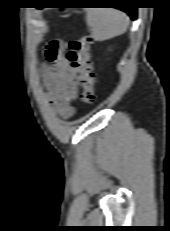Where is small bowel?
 <instances>
[{
	"instance_id": "c3829d8e",
	"label": "small bowel",
	"mask_w": 170,
	"mask_h": 231,
	"mask_svg": "<svg viewBox=\"0 0 170 231\" xmlns=\"http://www.w3.org/2000/svg\"><path fill=\"white\" fill-rule=\"evenodd\" d=\"M65 50L66 44L62 40H54L47 46L43 76L52 107L64 118H69L74 114L72 103L78 87Z\"/></svg>"
}]
</instances>
